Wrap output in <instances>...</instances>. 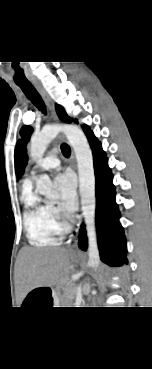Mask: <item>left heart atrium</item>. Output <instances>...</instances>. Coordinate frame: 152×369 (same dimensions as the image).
I'll return each instance as SVG.
<instances>
[{
    "instance_id": "1",
    "label": "left heart atrium",
    "mask_w": 152,
    "mask_h": 369,
    "mask_svg": "<svg viewBox=\"0 0 152 369\" xmlns=\"http://www.w3.org/2000/svg\"><path fill=\"white\" fill-rule=\"evenodd\" d=\"M60 195V208L65 213H72L77 207L76 182L71 173H62L55 179Z\"/></svg>"
}]
</instances>
